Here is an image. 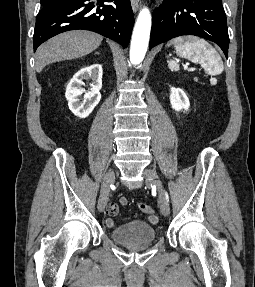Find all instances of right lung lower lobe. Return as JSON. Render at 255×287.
<instances>
[{
  "label": "right lung lower lobe",
  "instance_id": "98d812e1",
  "mask_svg": "<svg viewBox=\"0 0 255 287\" xmlns=\"http://www.w3.org/2000/svg\"><path fill=\"white\" fill-rule=\"evenodd\" d=\"M89 1L60 0L45 5L36 18L34 51L49 38L77 29L97 32L126 48L134 24L130 0Z\"/></svg>",
  "mask_w": 255,
  "mask_h": 287
}]
</instances>
